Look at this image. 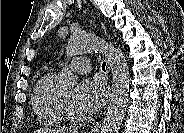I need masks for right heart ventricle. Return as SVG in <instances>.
Segmentation results:
<instances>
[{"mask_svg": "<svg viewBox=\"0 0 184 133\" xmlns=\"http://www.w3.org/2000/svg\"><path fill=\"white\" fill-rule=\"evenodd\" d=\"M55 72H43L34 87L32 95L36 114L46 123L57 125L65 116V104L60 90L55 84Z\"/></svg>", "mask_w": 184, "mask_h": 133, "instance_id": "obj_1", "label": "right heart ventricle"}]
</instances>
